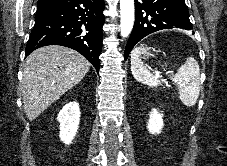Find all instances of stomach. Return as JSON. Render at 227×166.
I'll return each mask as SVG.
<instances>
[{
	"label": "stomach",
	"mask_w": 227,
	"mask_h": 166,
	"mask_svg": "<svg viewBox=\"0 0 227 166\" xmlns=\"http://www.w3.org/2000/svg\"><path fill=\"white\" fill-rule=\"evenodd\" d=\"M150 50L151 48L147 46L142 45L140 47L141 54L144 55L145 57L154 56V54Z\"/></svg>",
	"instance_id": "stomach-1"
}]
</instances>
